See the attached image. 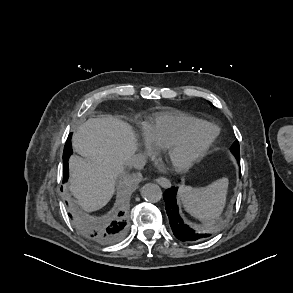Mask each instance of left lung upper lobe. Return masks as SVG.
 <instances>
[{"mask_svg":"<svg viewBox=\"0 0 293 293\" xmlns=\"http://www.w3.org/2000/svg\"><path fill=\"white\" fill-rule=\"evenodd\" d=\"M231 151L235 155L236 158L240 157V150H239V142L235 141L231 146Z\"/></svg>","mask_w":293,"mask_h":293,"instance_id":"left-lung-upper-lobe-1","label":"left lung upper lobe"}]
</instances>
